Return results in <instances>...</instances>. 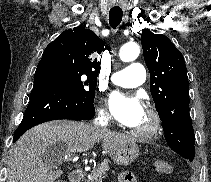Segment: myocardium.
I'll list each match as a JSON object with an SVG mask.
<instances>
[{
  "instance_id": "myocardium-1",
  "label": "myocardium",
  "mask_w": 211,
  "mask_h": 182,
  "mask_svg": "<svg viewBox=\"0 0 211 182\" xmlns=\"http://www.w3.org/2000/svg\"><path fill=\"white\" fill-rule=\"evenodd\" d=\"M146 113L151 119V125L146 130H135L130 131L131 135L138 140L147 141L153 139L162 128V119L160 114L154 108H147Z\"/></svg>"
}]
</instances>
